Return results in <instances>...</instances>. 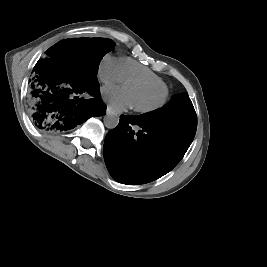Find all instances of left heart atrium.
I'll use <instances>...</instances> for the list:
<instances>
[{"label": "left heart atrium", "instance_id": "left-heart-atrium-1", "mask_svg": "<svg viewBox=\"0 0 267 267\" xmlns=\"http://www.w3.org/2000/svg\"><path fill=\"white\" fill-rule=\"evenodd\" d=\"M102 96L113 110L122 111L133 105L132 96L126 87H104Z\"/></svg>", "mask_w": 267, "mask_h": 267}]
</instances>
